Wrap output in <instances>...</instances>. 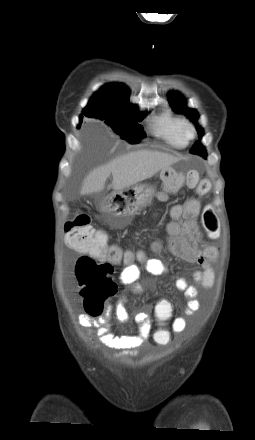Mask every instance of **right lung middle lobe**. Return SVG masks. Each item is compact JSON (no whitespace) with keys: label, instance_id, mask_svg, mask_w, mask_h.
Segmentation results:
<instances>
[{"label":"right lung middle lobe","instance_id":"dd1d6c3e","mask_svg":"<svg viewBox=\"0 0 255 440\" xmlns=\"http://www.w3.org/2000/svg\"><path fill=\"white\" fill-rule=\"evenodd\" d=\"M135 113L138 115L136 116ZM148 112H138L132 105L109 106L97 102L89 101L87 107L83 110V115L105 120L113 131L120 135L124 140L131 144L139 143L145 138L142 126L138 124ZM80 121H82V117Z\"/></svg>","mask_w":255,"mask_h":440}]
</instances>
